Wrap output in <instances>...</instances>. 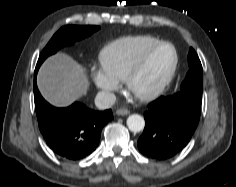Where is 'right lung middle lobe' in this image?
<instances>
[{"label":"right lung middle lobe","instance_id":"right-lung-middle-lobe-1","mask_svg":"<svg viewBox=\"0 0 236 187\" xmlns=\"http://www.w3.org/2000/svg\"><path fill=\"white\" fill-rule=\"evenodd\" d=\"M98 29V26L76 25H68L60 28L41 52L36 65V70L39 69L40 65L48 56L56 53L60 48L71 45L75 41L88 37Z\"/></svg>","mask_w":236,"mask_h":187}]
</instances>
